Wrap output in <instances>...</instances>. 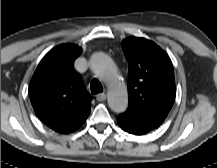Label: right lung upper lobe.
Wrapping results in <instances>:
<instances>
[{
    "instance_id": "cb5924a9",
    "label": "right lung upper lobe",
    "mask_w": 217,
    "mask_h": 168,
    "mask_svg": "<svg viewBox=\"0 0 217 168\" xmlns=\"http://www.w3.org/2000/svg\"><path fill=\"white\" fill-rule=\"evenodd\" d=\"M81 52L75 44L55 47L41 60L30 82L29 96L36 115L58 133L76 131L90 113L92 97L73 68Z\"/></svg>"
}]
</instances>
